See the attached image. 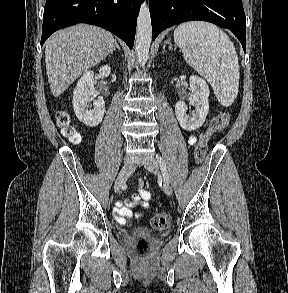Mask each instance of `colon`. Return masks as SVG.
Wrapping results in <instances>:
<instances>
[{
	"label": "colon",
	"mask_w": 288,
	"mask_h": 293,
	"mask_svg": "<svg viewBox=\"0 0 288 293\" xmlns=\"http://www.w3.org/2000/svg\"><path fill=\"white\" fill-rule=\"evenodd\" d=\"M230 122V114L227 111L220 112L208 124L207 129L200 135L199 140L194 149V158L197 163H201L207 152V142L211 135L221 132ZM57 123L61 128L63 135L72 143H79L81 140L80 134L76 131L71 123L70 116L67 112H60L57 115ZM132 217L125 215L124 222L131 223ZM152 224L157 229H165L171 224V217L168 213H157L153 219ZM136 252L139 255H145L148 250V242L146 240H139L135 245Z\"/></svg>",
	"instance_id": "1"
}]
</instances>
